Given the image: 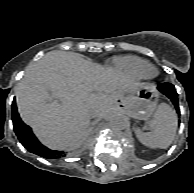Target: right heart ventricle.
I'll use <instances>...</instances> for the list:
<instances>
[{
	"instance_id": "obj_1",
	"label": "right heart ventricle",
	"mask_w": 194,
	"mask_h": 193,
	"mask_svg": "<svg viewBox=\"0 0 194 193\" xmlns=\"http://www.w3.org/2000/svg\"><path fill=\"white\" fill-rule=\"evenodd\" d=\"M116 68L133 79H146V71L152 66L148 61L136 56L117 57L113 60Z\"/></svg>"
}]
</instances>
